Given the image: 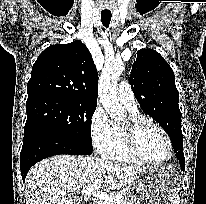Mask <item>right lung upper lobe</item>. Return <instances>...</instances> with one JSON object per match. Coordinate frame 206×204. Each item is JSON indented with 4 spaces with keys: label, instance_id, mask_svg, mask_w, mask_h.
<instances>
[{
    "label": "right lung upper lobe",
    "instance_id": "obj_1",
    "mask_svg": "<svg viewBox=\"0 0 206 204\" xmlns=\"http://www.w3.org/2000/svg\"><path fill=\"white\" fill-rule=\"evenodd\" d=\"M97 81L92 56L81 41L51 45L33 65L27 100L52 97L97 103Z\"/></svg>",
    "mask_w": 206,
    "mask_h": 204
}]
</instances>
